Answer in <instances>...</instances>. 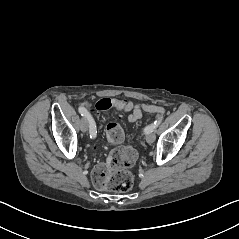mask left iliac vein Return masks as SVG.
<instances>
[{
  "label": "left iliac vein",
  "mask_w": 239,
  "mask_h": 239,
  "mask_svg": "<svg viewBox=\"0 0 239 239\" xmlns=\"http://www.w3.org/2000/svg\"><path fill=\"white\" fill-rule=\"evenodd\" d=\"M155 139H156V135L154 134V133H148L147 135H146V141L148 142V143H153L154 141H155Z\"/></svg>",
  "instance_id": "4c4485c4"
}]
</instances>
